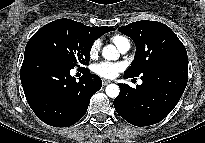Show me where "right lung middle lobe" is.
<instances>
[{
  "mask_svg": "<svg viewBox=\"0 0 205 143\" xmlns=\"http://www.w3.org/2000/svg\"><path fill=\"white\" fill-rule=\"evenodd\" d=\"M94 40L80 22L63 18L40 28L28 41L25 51L45 52L74 68L89 63Z\"/></svg>",
  "mask_w": 205,
  "mask_h": 143,
  "instance_id": "obj_1",
  "label": "right lung middle lobe"
}]
</instances>
